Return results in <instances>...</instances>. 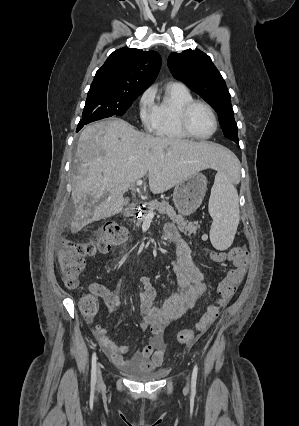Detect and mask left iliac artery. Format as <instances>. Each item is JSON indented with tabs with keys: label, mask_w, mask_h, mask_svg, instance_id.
<instances>
[{
	"label": "left iliac artery",
	"mask_w": 299,
	"mask_h": 426,
	"mask_svg": "<svg viewBox=\"0 0 299 426\" xmlns=\"http://www.w3.org/2000/svg\"><path fill=\"white\" fill-rule=\"evenodd\" d=\"M197 374H198V367L197 365L194 366L193 372H192V385L195 386L196 380H197Z\"/></svg>",
	"instance_id": "left-iliac-artery-1"
}]
</instances>
